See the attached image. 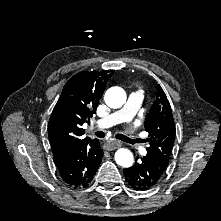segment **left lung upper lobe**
<instances>
[{
	"label": "left lung upper lobe",
	"instance_id": "left-lung-upper-lobe-1",
	"mask_svg": "<svg viewBox=\"0 0 221 221\" xmlns=\"http://www.w3.org/2000/svg\"><path fill=\"white\" fill-rule=\"evenodd\" d=\"M144 126L150 137L147 155L168 165L175 140V123L169 101L160 85H157L156 99L146 115Z\"/></svg>",
	"mask_w": 221,
	"mask_h": 221
}]
</instances>
